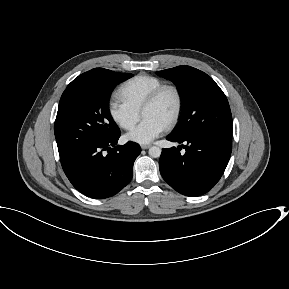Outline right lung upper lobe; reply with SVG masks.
Here are the masks:
<instances>
[{
  "instance_id": "1",
  "label": "right lung upper lobe",
  "mask_w": 289,
  "mask_h": 289,
  "mask_svg": "<svg viewBox=\"0 0 289 289\" xmlns=\"http://www.w3.org/2000/svg\"><path fill=\"white\" fill-rule=\"evenodd\" d=\"M113 73V71L104 68H94L88 72L79 75L71 82V84L99 82Z\"/></svg>"
}]
</instances>
